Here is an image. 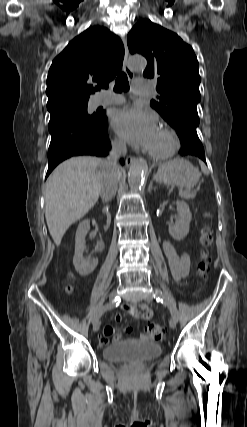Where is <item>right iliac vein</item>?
<instances>
[{"label":"right iliac vein","instance_id":"obj_1","mask_svg":"<svg viewBox=\"0 0 247 427\" xmlns=\"http://www.w3.org/2000/svg\"><path fill=\"white\" fill-rule=\"evenodd\" d=\"M117 297V291H112L109 295V300L112 302L114 301V299ZM100 328V317H97L96 319H94L93 321V330L96 332L98 331Z\"/></svg>","mask_w":247,"mask_h":427}]
</instances>
